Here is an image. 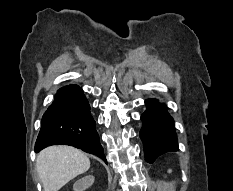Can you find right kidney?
I'll use <instances>...</instances> for the list:
<instances>
[{
    "label": "right kidney",
    "mask_w": 233,
    "mask_h": 191,
    "mask_svg": "<svg viewBox=\"0 0 233 191\" xmlns=\"http://www.w3.org/2000/svg\"><path fill=\"white\" fill-rule=\"evenodd\" d=\"M93 183H94V176L92 175L85 176L75 182V184L73 185V190L84 191L87 188H89Z\"/></svg>",
    "instance_id": "ca27d5eb"
}]
</instances>
